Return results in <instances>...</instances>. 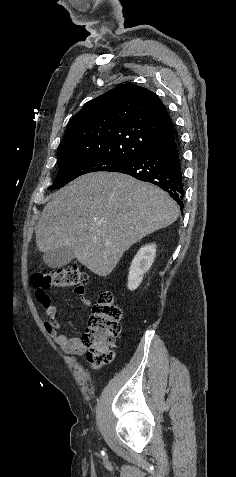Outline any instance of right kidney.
I'll use <instances>...</instances> for the list:
<instances>
[{
    "label": "right kidney",
    "mask_w": 236,
    "mask_h": 477,
    "mask_svg": "<svg viewBox=\"0 0 236 477\" xmlns=\"http://www.w3.org/2000/svg\"><path fill=\"white\" fill-rule=\"evenodd\" d=\"M156 254V245H145L134 257L128 276V289L135 290L142 282L143 275L150 269Z\"/></svg>",
    "instance_id": "1"
}]
</instances>
